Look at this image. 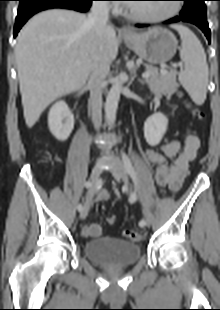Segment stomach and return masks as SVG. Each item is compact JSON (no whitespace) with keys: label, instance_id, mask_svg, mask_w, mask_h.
<instances>
[{"label":"stomach","instance_id":"obj_1","mask_svg":"<svg viewBox=\"0 0 220 310\" xmlns=\"http://www.w3.org/2000/svg\"><path fill=\"white\" fill-rule=\"evenodd\" d=\"M126 44L149 64H162L176 53L178 43L174 34L164 28H152L143 33H134L124 37Z\"/></svg>","mask_w":220,"mask_h":310}]
</instances>
